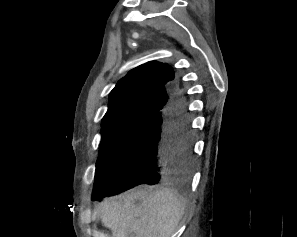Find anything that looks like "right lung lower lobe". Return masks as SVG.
<instances>
[{
  "label": "right lung lower lobe",
  "instance_id": "obj_1",
  "mask_svg": "<svg viewBox=\"0 0 297 237\" xmlns=\"http://www.w3.org/2000/svg\"><path fill=\"white\" fill-rule=\"evenodd\" d=\"M192 162V144L185 95L175 90L168 106L153 115L127 156L112 188L92 195L113 196L140 184L155 185L185 175Z\"/></svg>",
  "mask_w": 297,
  "mask_h": 237
}]
</instances>
